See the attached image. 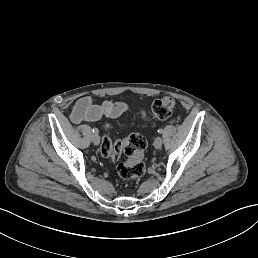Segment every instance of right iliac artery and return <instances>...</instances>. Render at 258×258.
I'll return each mask as SVG.
<instances>
[{
    "label": "right iliac artery",
    "instance_id": "1",
    "mask_svg": "<svg viewBox=\"0 0 258 258\" xmlns=\"http://www.w3.org/2000/svg\"><path fill=\"white\" fill-rule=\"evenodd\" d=\"M92 131H93V133H95V134L98 133V129H97V128H93Z\"/></svg>",
    "mask_w": 258,
    "mask_h": 258
}]
</instances>
